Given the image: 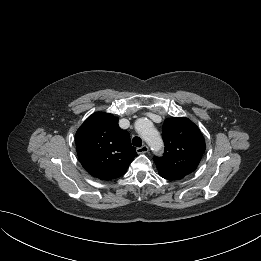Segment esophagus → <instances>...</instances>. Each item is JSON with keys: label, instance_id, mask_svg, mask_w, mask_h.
<instances>
[{"label": "esophagus", "instance_id": "esophagus-1", "mask_svg": "<svg viewBox=\"0 0 261 261\" xmlns=\"http://www.w3.org/2000/svg\"><path fill=\"white\" fill-rule=\"evenodd\" d=\"M148 150H149V148H148L147 145H143V146L136 149L138 154L146 153V152H148Z\"/></svg>", "mask_w": 261, "mask_h": 261}]
</instances>
